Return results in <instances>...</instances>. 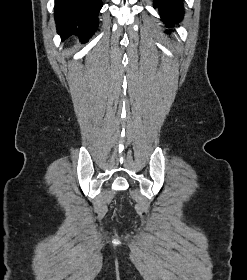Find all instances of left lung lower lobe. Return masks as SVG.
<instances>
[{"mask_svg":"<svg viewBox=\"0 0 247 280\" xmlns=\"http://www.w3.org/2000/svg\"><path fill=\"white\" fill-rule=\"evenodd\" d=\"M154 8H158L160 17L167 28H171L183 19V0H154ZM167 32L170 33V30Z\"/></svg>","mask_w":247,"mask_h":280,"instance_id":"0a47b994","label":"left lung lower lobe"}]
</instances>
